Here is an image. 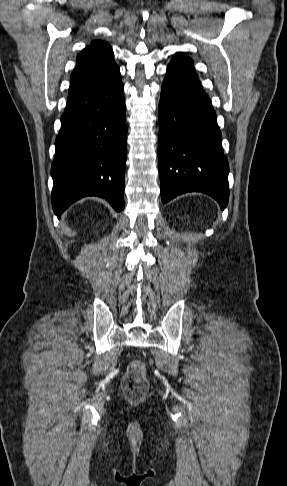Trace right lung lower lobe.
I'll return each mask as SVG.
<instances>
[{
  "label": "right lung lower lobe",
  "instance_id": "obj_1",
  "mask_svg": "<svg viewBox=\"0 0 287 486\" xmlns=\"http://www.w3.org/2000/svg\"><path fill=\"white\" fill-rule=\"evenodd\" d=\"M55 146L51 200L58 217L85 196L103 197L117 212L124 209L127 127L121 77L68 97Z\"/></svg>",
  "mask_w": 287,
  "mask_h": 486
}]
</instances>
